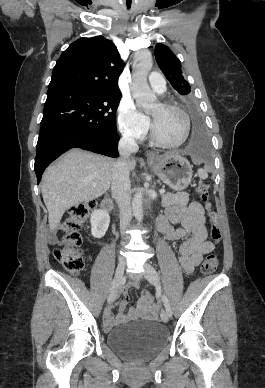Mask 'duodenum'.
Returning a JSON list of instances; mask_svg holds the SVG:
<instances>
[{"label": "duodenum", "instance_id": "obj_1", "mask_svg": "<svg viewBox=\"0 0 265 388\" xmlns=\"http://www.w3.org/2000/svg\"><path fill=\"white\" fill-rule=\"evenodd\" d=\"M102 207L104 209V211H106L107 213L111 214L113 212V203H112V200L110 198H106L103 203H102ZM158 224L160 225V223L158 222Z\"/></svg>", "mask_w": 265, "mask_h": 388}]
</instances>
